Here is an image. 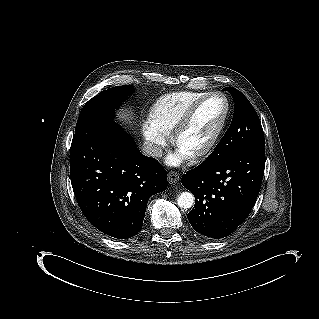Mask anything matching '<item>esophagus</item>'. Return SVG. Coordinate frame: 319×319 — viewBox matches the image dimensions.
<instances>
[{
  "mask_svg": "<svg viewBox=\"0 0 319 319\" xmlns=\"http://www.w3.org/2000/svg\"><path fill=\"white\" fill-rule=\"evenodd\" d=\"M167 179L170 184H175L179 181V174L175 171H170L167 174Z\"/></svg>",
  "mask_w": 319,
  "mask_h": 319,
  "instance_id": "obj_1",
  "label": "esophagus"
}]
</instances>
